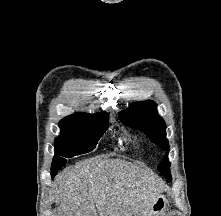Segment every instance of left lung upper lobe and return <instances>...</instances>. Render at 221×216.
Segmentation results:
<instances>
[{
	"label": "left lung upper lobe",
	"instance_id": "left-lung-upper-lobe-1",
	"mask_svg": "<svg viewBox=\"0 0 221 216\" xmlns=\"http://www.w3.org/2000/svg\"><path fill=\"white\" fill-rule=\"evenodd\" d=\"M120 120L127 126L143 131L153 143L169 150L166 139V125L158 115L156 104L153 101H140L133 103L128 109L119 113ZM158 171L171 181L170 162L164 157L158 165Z\"/></svg>",
	"mask_w": 221,
	"mask_h": 216
}]
</instances>
